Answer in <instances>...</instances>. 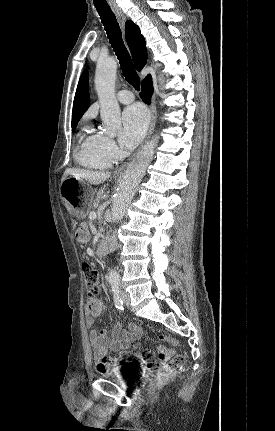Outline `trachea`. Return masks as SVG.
I'll list each match as a JSON object with an SVG mask.
<instances>
[{
    "mask_svg": "<svg viewBox=\"0 0 275 431\" xmlns=\"http://www.w3.org/2000/svg\"><path fill=\"white\" fill-rule=\"evenodd\" d=\"M96 9L100 16L101 22L103 23L113 51L119 60L121 70L126 81L136 90H140V78L134 68L129 52L124 45L121 30L114 13L110 8L96 7Z\"/></svg>",
    "mask_w": 275,
    "mask_h": 431,
    "instance_id": "trachea-1",
    "label": "trachea"
}]
</instances>
